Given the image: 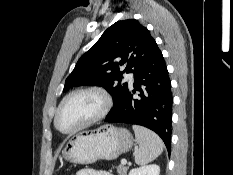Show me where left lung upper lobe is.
Returning a JSON list of instances; mask_svg holds the SVG:
<instances>
[{
  "mask_svg": "<svg viewBox=\"0 0 233 175\" xmlns=\"http://www.w3.org/2000/svg\"><path fill=\"white\" fill-rule=\"evenodd\" d=\"M156 46L148 29L137 20L117 21L78 60L63 91L73 86H102L113 97L110 114L120 106L129 89L128 83L122 81V74H136ZM121 67H125L122 72Z\"/></svg>",
  "mask_w": 233,
  "mask_h": 175,
  "instance_id": "5c2ea615",
  "label": "left lung upper lobe"
}]
</instances>
